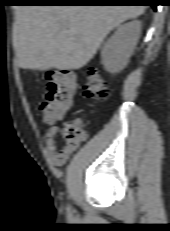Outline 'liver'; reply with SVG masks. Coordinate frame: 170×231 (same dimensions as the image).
<instances>
[{
	"instance_id": "6515ba94",
	"label": "liver",
	"mask_w": 170,
	"mask_h": 231,
	"mask_svg": "<svg viewBox=\"0 0 170 231\" xmlns=\"http://www.w3.org/2000/svg\"><path fill=\"white\" fill-rule=\"evenodd\" d=\"M145 9L141 5L19 7L13 35L18 65L40 71L80 69L110 31Z\"/></svg>"
}]
</instances>
